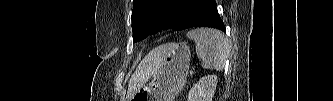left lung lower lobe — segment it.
<instances>
[{"label": "left lung lower lobe", "instance_id": "left-lung-lower-lobe-1", "mask_svg": "<svg viewBox=\"0 0 333 101\" xmlns=\"http://www.w3.org/2000/svg\"><path fill=\"white\" fill-rule=\"evenodd\" d=\"M180 1L184 14L179 21V30L191 27H212L226 32L224 23L218 14L215 0Z\"/></svg>", "mask_w": 333, "mask_h": 101}]
</instances>
